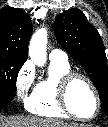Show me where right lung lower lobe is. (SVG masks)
Returning a JSON list of instances; mask_svg holds the SVG:
<instances>
[{"label": "right lung lower lobe", "mask_w": 108, "mask_h": 127, "mask_svg": "<svg viewBox=\"0 0 108 127\" xmlns=\"http://www.w3.org/2000/svg\"><path fill=\"white\" fill-rule=\"evenodd\" d=\"M13 98L6 97V96H0V108L5 106L6 104L10 103Z\"/></svg>", "instance_id": "98d812e1"}]
</instances>
